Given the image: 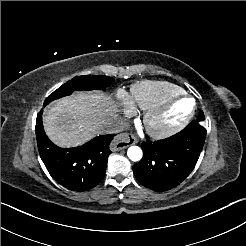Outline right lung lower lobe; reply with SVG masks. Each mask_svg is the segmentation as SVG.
<instances>
[{"label": "right lung lower lobe", "mask_w": 246, "mask_h": 246, "mask_svg": "<svg viewBox=\"0 0 246 246\" xmlns=\"http://www.w3.org/2000/svg\"><path fill=\"white\" fill-rule=\"evenodd\" d=\"M42 112L37 115L35 132L40 156L50 175L72 191L95 187L105 175L108 156L112 153L109 144L116 134L96 137L76 148H59L44 132Z\"/></svg>", "instance_id": "obj_1"}]
</instances>
